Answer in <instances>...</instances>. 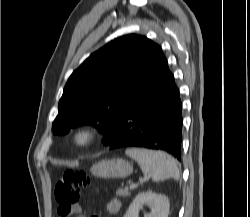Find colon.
I'll use <instances>...</instances> for the list:
<instances>
[{
	"label": "colon",
	"instance_id": "5ec220e1",
	"mask_svg": "<svg viewBox=\"0 0 250 217\" xmlns=\"http://www.w3.org/2000/svg\"><path fill=\"white\" fill-rule=\"evenodd\" d=\"M90 183L85 172L67 170L57 179L55 184V199L63 213L79 204L82 189ZM96 217V216H93Z\"/></svg>",
	"mask_w": 250,
	"mask_h": 217
}]
</instances>
